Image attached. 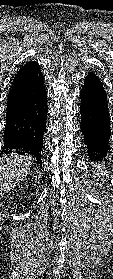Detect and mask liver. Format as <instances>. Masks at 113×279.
<instances>
[{
	"mask_svg": "<svg viewBox=\"0 0 113 279\" xmlns=\"http://www.w3.org/2000/svg\"><path fill=\"white\" fill-rule=\"evenodd\" d=\"M33 160L30 156L9 153L0 158V195L17 186L29 174Z\"/></svg>",
	"mask_w": 113,
	"mask_h": 279,
	"instance_id": "1",
	"label": "liver"
}]
</instances>
